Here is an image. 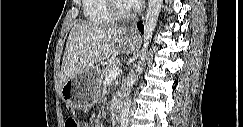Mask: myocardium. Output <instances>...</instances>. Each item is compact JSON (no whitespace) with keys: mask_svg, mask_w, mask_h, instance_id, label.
Returning a JSON list of instances; mask_svg holds the SVG:
<instances>
[{"mask_svg":"<svg viewBox=\"0 0 243 127\" xmlns=\"http://www.w3.org/2000/svg\"><path fill=\"white\" fill-rule=\"evenodd\" d=\"M109 10L118 20L130 18L133 15V5L123 0H109Z\"/></svg>","mask_w":243,"mask_h":127,"instance_id":"myocardium-1","label":"myocardium"}]
</instances>
